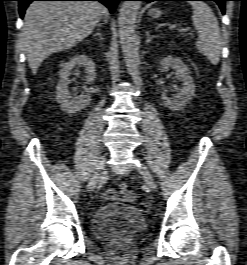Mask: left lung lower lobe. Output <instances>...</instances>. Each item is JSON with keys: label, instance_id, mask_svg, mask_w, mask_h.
<instances>
[{"label": "left lung lower lobe", "instance_id": "0a47b994", "mask_svg": "<svg viewBox=\"0 0 247 265\" xmlns=\"http://www.w3.org/2000/svg\"><path fill=\"white\" fill-rule=\"evenodd\" d=\"M138 1H146L147 3H150L153 1H178V0H138ZM181 1H192V0H181ZM202 1H215L219 5L222 13L224 14L225 13V2L229 0H202Z\"/></svg>", "mask_w": 247, "mask_h": 265}]
</instances>
